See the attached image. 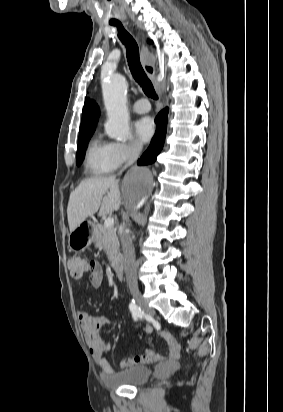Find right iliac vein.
<instances>
[{"label": "right iliac vein", "mask_w": 283, "mask_h": 412, "mask_svg": "<svg viewBox=\"0 0 283 412\" xmlns=\"http://www.w3.org/2000/svg\"><path fill=\"white\" fill-rule=\"evenodd\" d=\"M131 294H132L133 298L135 299V301L138 303V305L142 309H144L146 312H148L152 316L155 315V311L146 304V302H145V300H144L143 296L141 295L138 288L131 289Z\"/></svg>", "instance_id": "right-iliac-vein-1"}]
</instances>
